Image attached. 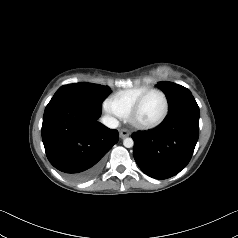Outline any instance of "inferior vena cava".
I'll use <instances>...</instances> for the list:
<instances>
[{
    "mask_svg": "<svg viewBox=\"0 0 238 238\" xmlns=\"http://www.w3.org/2000/svg\"><path fill=\"white\" fill-rule=\"evenodd\" d=\"M101 122L107 126L108 128H111V129H116L119 125V122L117 119L111 117V116H104L102 117L101 119Z\"/></svg>",
    "mask_w": 238,
    "mask_h": 238,
    "instance_id": "1",
    "label": "inferior vena cava"
}]
</instances>
